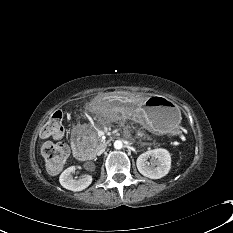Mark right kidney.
<instances>
[{"label":"right kidney","instance_id":"right-kidney-1","mask_svg":"<svg viewBox=\"0 0 233 233\" xmlns=\"http://www.w3.org/2000/svg\"><path fill=\"white\" fill-rule=\"evenodd\" d=\"M76 170L75 166L65 169L59 177L60 184L71 191H82L92 183V176L86 175L79 179H73L72 173Z\"/></svg>","mask_w":233,"mask_h":233}]
</instances>
